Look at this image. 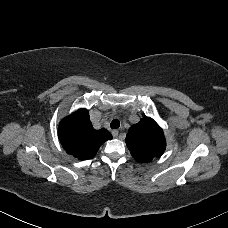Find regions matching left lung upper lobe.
Wrapping results in <instances>:
<instances>
[{"instance_id":"left-lung-upper-lobe-1","label":"left lung upper lobe","mask_w":228,"mask_h":228,"mask_svg":"<svg viewBox=\"0 0 228 228\" xmlns=\"http://www.w3.org/2000/svg\"><path fill=\"white\" fill-rule=\"evenodd\" d=\"M126 144L132 156L139 162H149L160 157L166 147L162 129L150 117H144L129 129Z\"/></svg>"}]
</instances>
